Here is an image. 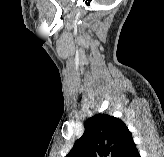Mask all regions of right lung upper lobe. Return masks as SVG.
<instances>
[{
    "instance_id": "cb5924a9",
    "label": "right lung upper lobe",
    "mask_w": 164,
    "mask_h": 157,
    "mask_svg": "<svg viewBox=\"0 0 164 157\" xmlns=\"http://www.w3.org/2000/svg\"><path fill=\"white\" fill-rule=\"evenodd\" d=\"M132 140L122 120L97 114L86 121L84 134L66 157H119Z\"/></svg>"
}]
</instances>
